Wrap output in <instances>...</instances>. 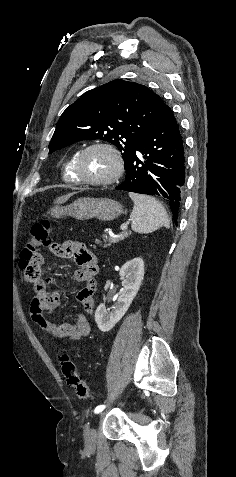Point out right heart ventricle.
<instances>
[{"mask_svg": "<svg viewBox=\"0 0 236 477\" xmlns=\"http://www.w3.org/2000/svg\"><path fill=\"white\" fill-rule=\"evenodd\" d=\"M79 152L73 153L64 163L63 168H62V178L63 180L71 185H78L79 182L77 180V177L74 173L73 165L74 161L76 159V156Z\"/></svg>", "mask_w": 236, "mask_h": 477, "instance_id": "e07e8e85", "label": "right heart ventricle"}]
</instances>
